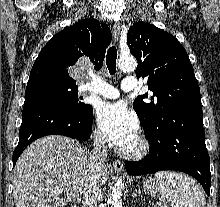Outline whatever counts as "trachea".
Returning a JSON list of instances; mask_svg holds the SVG:
<instances>
[{
    "label": "trachea",
    "instance_id": "3493384b",
    "mask_svg": "<svg viewBox=\"0 0 220 207\" xmlns=\"http://www.w3.org/2000/svg\"><path fill=\"white\" fill-rule=\"evenodd\" d=\"M116 59H117V49L115 46H112L107 51L106 56V65L111 75L116 72Z\"/></svg>",
    "mask_w": 220,
    "mask_h": 207
}]
</instances>
